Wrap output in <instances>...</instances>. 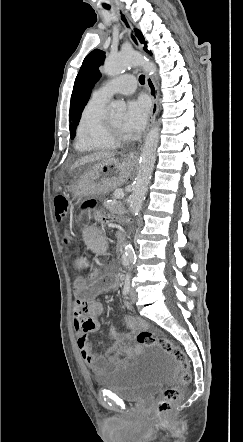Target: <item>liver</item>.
I'll return each mask as SVG.
<instances>
[{"mask_svg": "<svg viewBox=\"0 0 243 442\" xmlns=\"http://www.w3.org/2000/svg\"><path fill=\"white\" fill-rule=\"evenodd\" d=\"M115 155L116 154L113 153V152H106V151L90 154V155H87L85 157H82V158L78 159L71 166V169H75L77 167H80L82 165H85L87 163H92V162H95V161L106 160V159H113V158H115Z\"/></svg>", "mask_w": 243, "mask_h": 442, "instance_id": "liver-1", "label": "liver"}]
</instances>
